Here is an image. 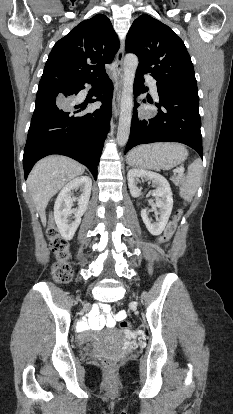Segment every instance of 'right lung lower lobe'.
<instances>
[{
	"label": "right lung lower lobe",
	"instance_id": "98d812e1",
	"mask_svg": "<svg viewBox=\"0 0 233 414\" xmlns=\"http://www.w3.org/2000/svg\"><path fill=\"white\" fill-rule=\"evenodd\" d=\"M101 80L94 94L102 105L94 110H86L88 102L77 104L73 96L84 89V84H94ZM113 85L109 77L76 82L69 88H40L36 96V106L24 148L23 167L25 179L33 165L50 154L69 156L84 164L97 177V166L103 143L110 128L112 114Z\"/></svg>",
	"mask_w": 233,
	"mask_h": 414
}]
</instances>
